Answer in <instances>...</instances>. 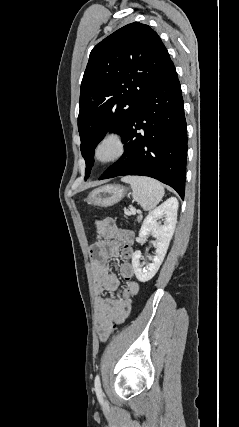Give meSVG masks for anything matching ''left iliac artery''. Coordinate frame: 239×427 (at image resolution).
Wrapping results in <instances>:
<instances>
[{
  "label": "left iliac artery",
  "mask_w": 239,
  "mask_h": 427,
  "mask_svg": "<svg viewBox=\"0 0 239 427\" xmlns=\"http://www.w3.org/2000/svg\"><path fill=\"white\" fill-rule=\"evenodd\" d=\"M94 385H95V392H96V395H97L98 399L102 400V398H103V392H102V388H101V382H100L99 375H97L95 377Z\"/></svg>",
  "instance_id": "left-iliac-artery-1"
}]
</instances>
